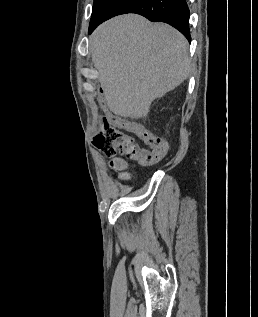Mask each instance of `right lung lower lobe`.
Instances as JSON below:
<instances>
[{"label":"right lung lower lobe","mask_w":258,"mask_h":317,"mask_svg":"<svg viewBox=\"0 0 258 317\" xmlns=\"http://www.w3.org/2000/svg\"><path fill=\"white\" fill-rule=\"evenodd\" d=\"M125 13L140 14L153 22H165L190 42V12L185 0H94L89 34L102 22Z\"/></svg>","instance_id":"obj_1"}]
</instances>
